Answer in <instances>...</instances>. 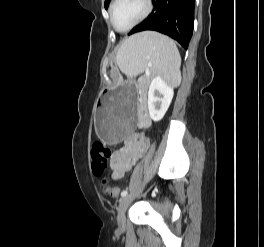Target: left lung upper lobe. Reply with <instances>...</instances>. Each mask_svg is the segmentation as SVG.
Returning a JSON list of instances; mask_svg holds the SVG:
<instances>
[{
    "label": "left lung upper lobe",
    "instance_id": "obj_1",
    "mask_svg": "<svg viewBox=\"0 0 264 247\" xmlns=\"http://www.w3.org/2000/svg\"><path fill=\"white\" fill-rule=\"evenodd\" d=\"M110 0H105V9L108 7Z\"/></svg>",
    "mask_w": 264,
    "mask_h": 247
}]
</instances>
